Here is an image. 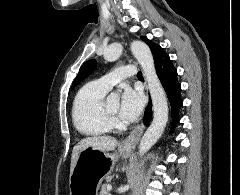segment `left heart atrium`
<instances>
[{
  "mask_svg": "<svg viewBox=\"0 0 240 195\" xmlns=\"http://www.w3.org/2000/svg\"><path fill=\"white\" fill-rule=\"evenodd\" d=\"M144 105L141 93L127 88L122 94L120 101V114L128 121H135L140 115Z\"/></svg>",
  "mask_w": 240,
  "mask_h": 195,
  "instance_id": "left-heart-atrium-1",
  "label": "left heart atrium"
}]
</instances>
